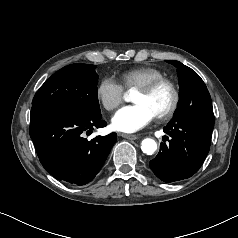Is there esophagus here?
I'll use <instances>...</instances> for the list:
<instances>
[{
    "instance_id": "obj_1",
    "label": "esophagus",
    "mask_w": 238,
    "mask_h": 238,
    "mask_svg": "<svg viewBox=\"0 0 238 238\" xmlns=\"http://www.w3.org/2000/svg\"><path fill=\"white\" fill-rule=\"evenodd\" d=\"M120 136H122L123 138L129 139V140H136V139H138V136L133 135V134L121 133Z\"/></svg>"
}]
</instances>
